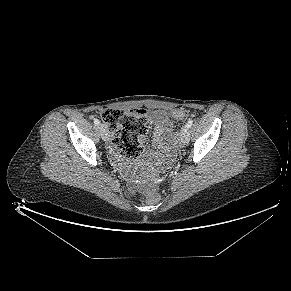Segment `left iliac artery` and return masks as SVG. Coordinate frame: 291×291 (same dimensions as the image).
I'll use <instances>...</instances> for the list:
<instances>
[{
	"label": "left iliac artery",
	"mask_w": 291,
	"mask_h": 291,
	"mask_svg": "<svg viewBox=\"0 0 291 291\" xmlns=\"http://www.w3.org/2000/svg\"><path fill=\"white\" fill-rule=\"evenodd\" d=\"M193 124V120L192 119H189L186 123V127L189 129Z\"/></svg>",
	"instance_id": "obj_1"
}]
</instances>
